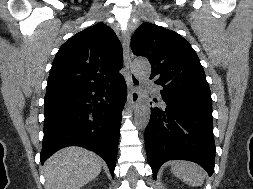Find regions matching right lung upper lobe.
Listing matches in <instances>:
<instances>
[{"label":"right lung upper lobe","instance_id":"obj_1","mask_svg":"<svg viewBox=\"0 0 253 189\" xmlns=\"http://www.w3.org/2000/svg\"><path fill=\"white\" fill-rule=\"evenodd\" d=\"M121 44L111 28L98 23L65 42L53 61L46 91L92 86L120 77Z\"/></svg>","mask_w":253,"mask_h":189}]
</instances>
